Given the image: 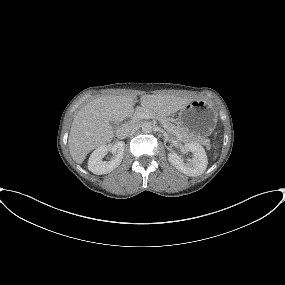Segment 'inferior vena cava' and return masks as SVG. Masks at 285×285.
<instances>
[{"instance_id": "inferior-vena-cava-1", "label": "inferior vena cava", "mask_w": 285, "mask_h": 285, "mask_svg": "<svg viewBox=\"0 0 285 285\" xmlns=\"http://www.w3.org/2000/svg\"><path fill=\"white\" fill-rule=\"evenodd\" d=\"M135 130V126L131 123H126L121 125L117 130H116V136L119 139H124L128 137L130 134H132Z\"/></svg>"}]
</instances>
